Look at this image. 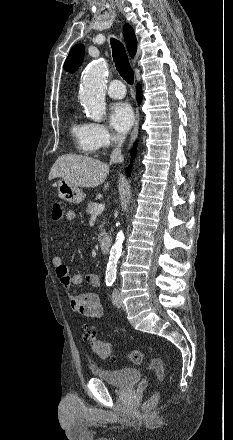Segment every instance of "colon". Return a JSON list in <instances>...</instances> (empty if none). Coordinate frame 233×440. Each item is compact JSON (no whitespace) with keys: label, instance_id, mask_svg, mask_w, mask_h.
I'll return each instance as SVG.
<instances>
[{"label":"colon","instance_id":"5ec220e1","mask_svg":"<svg viewBox=\"0 0 233 440\" xmlns=\"http://www.w3.org/2000/svg\"><path fill=\"white\" fill-rule=\"evenodd\" d=\"M63 216V205L60 202H56L52 207V218L59 220ZM84 338L88 340L96 355L102 359H113L114 349L111 343L106 340H102L98 337L97 331L90 327L84 326L83 328ZM129 361L135 364H144L147 367L155 371L157 380L162 382L164 379V367L161 359L148 355L140 350H131L126 354ZM159 400V394L154 393L145 404V409H151Z\"/></svg>","mask_w":233,"mask_h":440}]
</instances>
